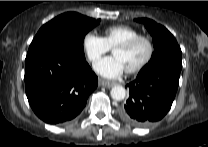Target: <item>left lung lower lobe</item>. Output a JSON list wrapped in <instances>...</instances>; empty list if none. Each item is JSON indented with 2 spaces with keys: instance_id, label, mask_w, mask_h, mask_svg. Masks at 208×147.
<instances>
[{
  "instance_id": "obj_1",
  "label": "left lung lower lobe",
  "mask_w": 208,
  "mask_h": 147,
  "mask_svg": "<svg viewBox=\"0 0 208 147\" xmlns=\"http://www.w3.org/2000/svg\"><path fill=\"white\" fill-rule=\"evenodd\" d=\"M181 68L162 64L140 72L128 84L130 96L119 115L128 124L147 126L161 120L170 110L179 85Z\"/></svg>"
}]
</instances>
